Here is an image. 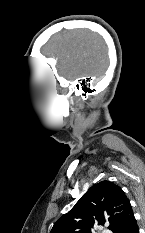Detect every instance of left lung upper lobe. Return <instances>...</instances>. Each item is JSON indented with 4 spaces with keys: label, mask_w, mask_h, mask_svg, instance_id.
<instances>
[{
    "label": "left lung upper lobe",
    "mask_w": 145,
    "mask_h": 233,
    "mask_svg": "<svg viewBox=\"0 0 145 233\" xmlns=\"http://www.w3.org/2000/svg\"><path fill=\"white\" fill-rule=\"evenodd\" d=\"M135 217L123 190L110 181L92 186L50 233H92L95 225L109 223L113 233H126Z\"/></svg>",
    "instance_id": "1"
}]
</instances>
